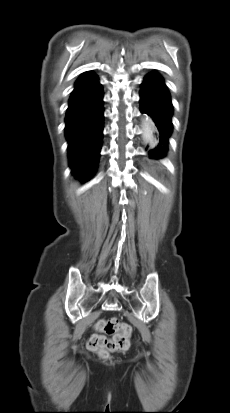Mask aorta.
<instances>
[{"mask_svg":"<svg viewBox=\"0 0 230 413\" xmlns=\"http://www.w3.org/2000/svg\"><path fill=\"white\" fill-rule=\"evenodd\" d=\"M142 138L150 145L154 143V128L151 119L146 118L142 121Z\"/></svg>","mask_w":230,"mask_h":413,"instance_id":"obj_1","label":"aorta"}]
</instances>
